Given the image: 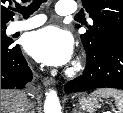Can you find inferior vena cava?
Wrapping results in <instances>:
<instances>
[{"label":"inferior vena cava","instance_id":"obj_1","mask_svg":"<svg viewBox=\"0 0 123 113\" xmlns=\"http://www.w3.org/2000/svg\"><path fill=\"white\" fill-rule=\"evenodd\" d=\"M32 107L31 103L27 101L23 113H30L29 109ZM33 113V112H32Z\"/></svg>","mask_w":123,"mask_h":113}]
</instances>
